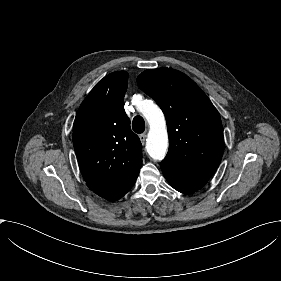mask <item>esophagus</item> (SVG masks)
<instances>
[{
    "instance_id": "esophagus-1",
    "label": "esophagus",
    "mask_w": 281,
    "mask_h": 281,
    "mask_svg": "<svg viewBox=\"0 0 281 281\" xmlns=\"http://www.w3.org/2000/svg\"><path fill=\"white\" fill-rule=\"evenodd\" d=\"M139 138H140L141 143L144 144L145 140H146V134H140Z\"/></svg>"
}]
</instances>
